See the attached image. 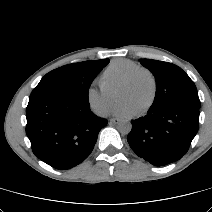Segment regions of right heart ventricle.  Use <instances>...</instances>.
<instances>
[{"mask_svg": "<svg viewBox=\"0 0 212 212\" xmlns=\"http://www.w3.org/2000/svg\"><path fill=\"white\" fill-rule=\"evenodd\" d=\"M138 67L139 65L131 60L117 59L102 73L100 86L108 91L116 92L123 85L131 72Z\"/></svg>", "mask_w": 212, "mask_h": 212, "instance_id": "1", "label": "right heart ventricle"}]
</instances>
